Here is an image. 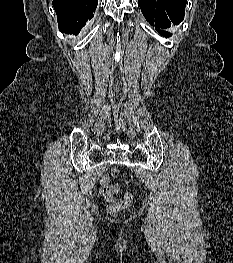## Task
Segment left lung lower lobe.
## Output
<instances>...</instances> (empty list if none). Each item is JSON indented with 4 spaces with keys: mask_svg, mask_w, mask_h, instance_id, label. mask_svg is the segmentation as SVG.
Masks as SVG:
<instances>
[{
    "mask_svg": "<svg viewBox=\"0 0 233 263\" xmlns=\"http://www.w3.org/2000/svg\"><path fill=\"white\" fill-rule=\"evenodd\" d=\"M186 3L187 0H138L146 20L151 26L157 27L158 33L164 37L171 34L163 29L183 21Z\"/></svg>",
    "mask_w": 233,
    "mask_h": 263,
    "instance_id": "0a47b994",
    "label": "left lung lower lobe"
}]
</instances>
